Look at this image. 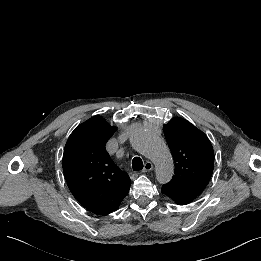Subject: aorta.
I'll return each instance as SVG.
<instances>
[{"label":"aorta","instance_id":"aorta-1","mask_svg":"<svg viewBox=\"0 0 261 261\" xmlns=\"http://www.w3.org/2000/svg\"><path fill=\"white\" fill-rule=\"evenodd\" d=\"M132 147L149 158L156 167V178L159 183H167L173 176V159L165 143L154 133L143 128H135L130 135Z\"/></svg>","mask_w":261,"mask_h":261}]
</instances>
